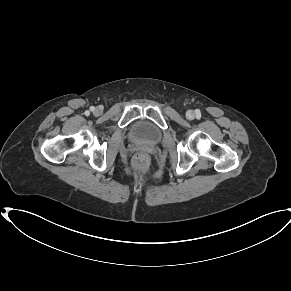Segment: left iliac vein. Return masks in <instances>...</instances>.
Segmentation results:
<instances>
[{"instance_id":"obj_1","label":"left iliac vein","mask_w":291,"mask_h":291,"mask_svg":"<svg viewBox=\"0 0 291 291\" xmlns=\"http://www.w3.org/2000/svg\"><path fill=\"white\" fill-rule=\"evenodd\" d=\"M186 116L188 119L192 120L195 118V113L192 110L187 111Z\"/></svg>"}]
</instances>
